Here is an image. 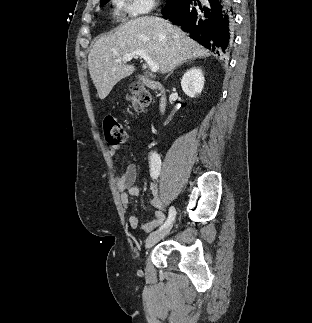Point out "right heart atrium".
I'll return each instance as SVG.
<instances>
[{
	"instance_id": "obj_1",
	"label": "right heart atrium",
	"mask_w": 312,
	"mask_h": 323,
	"mask_svg": "<svg viewBox=\"0 0 312 323\" xmlns=\"http://www.w3.org/2000/svg\"><path fill=\"white\" fill-rule=\"evenodd\" d=\"M117 3L121 5L124 13H132L137 17L139 13H155L162 0H117Z\"/></svg>"
}]
</instances>
